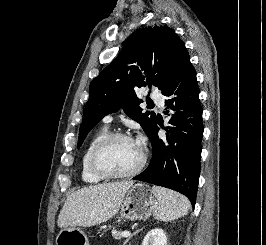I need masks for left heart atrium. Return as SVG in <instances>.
<instances>
[{
	"label": "left heart atrium",
	"instance_id": "obj_1",
	"mask_svg": "<svg viewBox=\"0 0 266 245\" xmlns=\"http://www.w3.org/2000/svg\"><path fill=\"white\" fill-rule=\"evenodd\" d=\"M135 143L139 146L140 141L139 140H136Z\"/></svg>",
	"mask_w": 266,
	"mask_h": 245
}]
</instances>
